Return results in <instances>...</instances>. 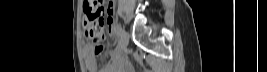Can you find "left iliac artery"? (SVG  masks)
<instances>
[{
  "label": "left iliac artery",
  "instance_id": "1",
  "mask_svg": "<svg viewBox=\"0 0 267 72\" xmlns=\"http://www.w3.org/2000/svg\"><path fill=\"white\" fill-rule=\"evenodd\" d=\"M122 29L119 25L114 26V33L116 34L117 37L121 35Z\"/></svg>",
  "mask_w": 267,
  "mask_h": 72
}]
</instances>
